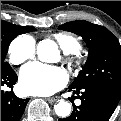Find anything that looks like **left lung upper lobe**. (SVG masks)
<instances>
[{
    "mask_svg": "<svg viewBox=\"0 0 121 121\" xmlns=\"http://www.w3.org/2000/svg\"><path fill=\"white\" fill-rule=\"evenodd\" d=\"M58 28L80 35L89 48L85 68L70 87H100L121 98V46L117 38L105 27L82 20Z\"/></svg>",
    "mask_w": 121,
    "mask_h": 121,
    "instance_id": "left-lung-upper-lobe-1",
    "label": "left lung upper lobe"
}]
</instances>
